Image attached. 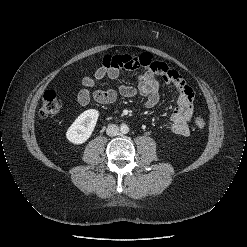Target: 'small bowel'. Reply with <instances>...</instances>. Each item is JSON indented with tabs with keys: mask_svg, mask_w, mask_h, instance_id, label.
Listing matches in <instances>:
<instances>
[{
	"mask_svg": "<svg viewBox=\"0 0 247 247\" xmlns=\"http://www.w3.org/2000/svg\"><path fill=\"white\" fill-rule=\"evenodd\" d=\"M138 68H142L144 71L138 75L136 86L122 84L118 89L94 90L92 93L88 91L106 77L117 79L122 70ZM159 78L172 84L176 89V107L169 121L171 131L180 136H188L189 121L193 113V89L177 70L166 63L154 60L150 53L105 56L102 66L96 70L94 75L82 79L85 89L79 92L78 102L81 106H87L92 99L101 105H112L119 95L124 97L142 95L146 97L145 106L153 108L160 99Z\"/></svg>",
	"mask_w": 247,
	"mask_h": 247,
	"instance_id": "obj_1",
	"label": "small bowel"
}]
</instances>
